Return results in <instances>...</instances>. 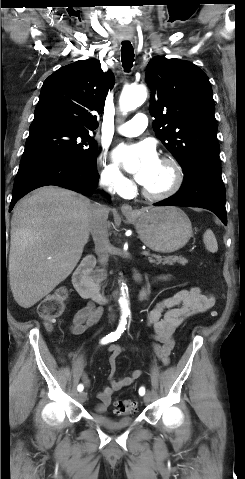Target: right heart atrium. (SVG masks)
Masks as SVG:
<instances>
[{"label": "right heart atrium", "mask_w": 245, "mask_h": 479, "mask_svg": "<svg viewBox=\"0 0 245 479\" xmlns=\"http://www.w3.org/2000/svg\"><path fill=\"white\" fill-rule=\"evenodd\" d=\"M99 180L102 186L109 191L126 194L131 182L113 164L106 161L104 157L100 160Z\"/></svg>", "instance_id": "d8ad5b80"}]
</instances>
